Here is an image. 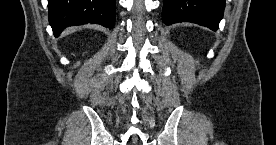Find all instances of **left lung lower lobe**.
<instances>
[{"mask_svg": "<svg viewBox=\"0 0 276 145\" xmlns=\"http://www.w3.org/2000/svg\"><path fill=\"white\" fill-rule=\"evenodd\" d=\"M225 0H164L163 22H193L216 31L223 17Z\"/></svg>", "mask_w": 276, "mask_h": 145, "instance_id": "0a47b994", "label": "left lung lower lobe"}]
</instances>
